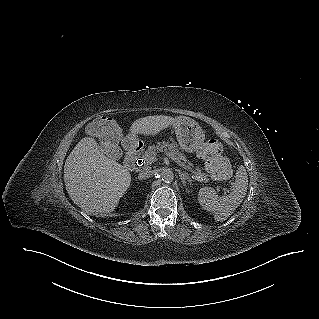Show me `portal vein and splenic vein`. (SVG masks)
<instances>
[{
    "label": "portal vein and splenic vein",
    "instance_id": "1",
    "mask_svg": "<svg viewBox=\"0 0 319 319\" xmlns=\"http://www.w3.org/2000/svg\"><path fill=\"white\" fill-rule=\"evenodd\" d=\"M167 157H169L170 159H172L174 162H176L179 166H181L182 168H184L185 170L190 171L191 173L195 174L196 176L194 177L196 180L198 181H204V179L199 176L194 170H192L190 167L186 166L184 163H182L176 156H174L172 153L170 152H165L164 153ZM156 158L153 156L150 158V161L153 162L155 161Z\"/></svg>",
    "mask_w": 319,
    "mask_h": 319
}]
</instances>
